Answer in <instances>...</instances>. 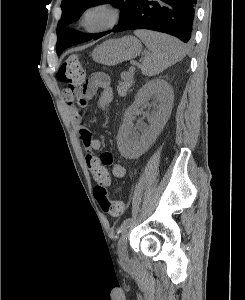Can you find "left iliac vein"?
Segmentation results:
<instances>
[{
    "instance_id": "4c4485c4",
    "label": "left iliac vein",
    "mask_w": 245,
    "mask_h": 300,
    "mask_svg": "<svg viewBox=\"0 0 245 300\" xmlns=\"http://www.w3.org/2000/svg\"><path fill=\"white\" fill-rule=\"evenodd\" d=\"M129 235V226L123 231L118 241V255L122 262L128 261L127 240Z\"/></svg>"
}]
</instances>
